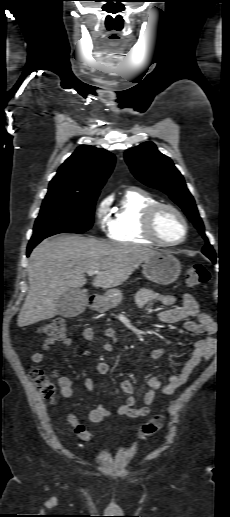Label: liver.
I'll use <instances>...</instances> for the list:
<instances>
[{
    "instance_id": "liver-1",
    "label": "liver",
    "mask_w": 230,
    "mask_h": 517,
    "mask_svg": "<svg viewBox=\"0 0 230 517\" xmlns=\"http://www.w3.org/2000/svg\"><path fill=\"white\" fill-rule=\"evenodd\" d=\"M157 252L146 247L59 235L34 248L28 264L29 291L17 324L25 327L58 314L57 301L86 283L85 273L96 270L95 287L124 283L143 262Z\"/></svg>"
}]
</instances>
